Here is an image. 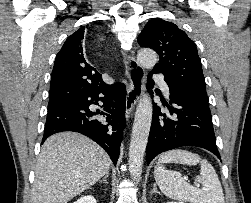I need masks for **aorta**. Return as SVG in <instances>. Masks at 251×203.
<instances>
[{
    "instance_id": "762f6f07",
    "label": "aorta",
    "mask_w": 251,
    "mask_h": 203,
    "mask_svg": "<svg viewBox=\"0 0 251 203\" xmlns=\"http://www.w3.org/2000/svg\"><path fill=\"white\" fill-rule=\"evenodd\" d=\"M138 61L146 69L153 68L157 63V54L152 49H141L138 53ZM152 102L149 94H143L140 99L132 129L129 146V170L133 180L139 181L142 174V166L148 136L152 121Z\"/></svg>"
}]
</instances>
